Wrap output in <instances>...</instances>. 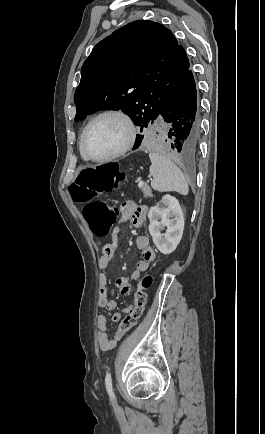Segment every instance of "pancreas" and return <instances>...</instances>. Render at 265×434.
<instances>
[{
	"label": "pancreas",
	"mask_w": 265,
	"mask_h": 434,
	"mask_svg": "<svg viewBox=\"0 0 265 434\" xmlns=\"http://www.w3.org/2000/svg\"><path fill=\"white\" fill-rule=\"evenodd\" d=\"M142 190H143L144 198H153L152 190L151 188H149V186H147V184H143Z\"/></svg>",
	"instance_id": "cf45deb5"
}]
</instances>
